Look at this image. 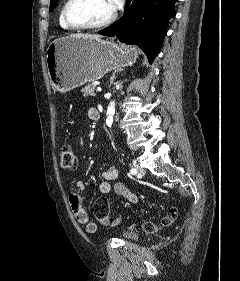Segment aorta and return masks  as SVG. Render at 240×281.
I'll return each mask as SVG.
<instances>
[{
    "label": "aorta",
    "mask_w": 240,
    "mask_h": 281,
    "mask_svg": "<svg viewBox=\"0 0 240 281\" xmlns=\"http://www.w3.org/2000/svg\"><path fill=\"white\" fill-rule=\"evenodd\" d=\"M114 113H115V102L111 101L107 108V118H106V124L109 127L112 126Z\"/></svg>",
    "instance_id": "1"
}]
</instances>
